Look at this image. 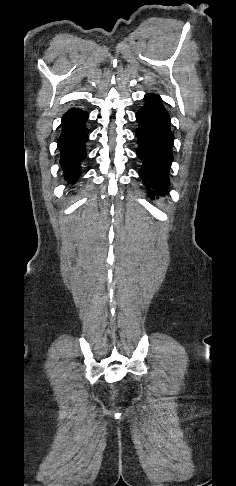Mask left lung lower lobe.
Wrapping results in <instances>:
<instances>
[{"label": "left lung lower lobe", "mask_w": 236, "mask_h": 486, "mask_svg": "<svg viewBox=\"0 0 236 486\" xmlns=\"http://www.w3.org/2000/svg\"><path fill=\"white\" fill-rule=\"evenodd\" d=\"M144 106L136 113L139 128L136 132L139 147L137 156L143 165L139 171L149 196L167 192L168 172L173 161V134L170 117L161 97L150 93L144 97Z\"/></svg>", "instance_id": "obj_1"}]
</instances>
